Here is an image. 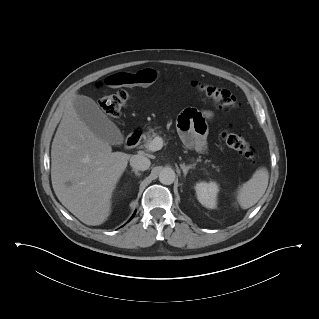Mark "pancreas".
<instances>
[{
	"instance_id": "cf45deb5",
	"label": "pancreas",
	"mask_w": 319,
	"mask_h": 319,
	"mask_svg": "<svg viewBox=\"0 0 319 319\" xmlns=\"http://www.w3.org/2000/svg\"><path fill=\"white\" fill-rule=\"evenodd\" d=\"M158 134L155 132V129L149 128V130L143 135L144 147H148L150 142L157 137ZM209 162L208 160L205 163Z\"/></svg>"
}]
</instances>
